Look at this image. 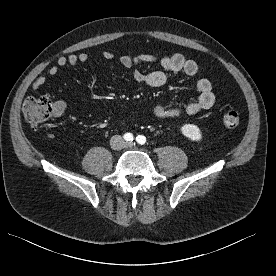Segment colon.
<instances>
[{
    "label": "colon",
    "instance_id": "colon-1",
    "mask_svg": "<svg viewBox=\"0 0 276 276\" xmlns=\"http://www.w3.org/2000/svg\"><path fill=\"white\" fill-rule=\"evenodd\" d=\"M22 112L30 125L39 127L53 116L54 104L47 96L28 97L23 103ZM222 121L227 128H236L240 124V114L234 109H226Z\"/></svg>",
    "mask_w": 276,
    "mask_h": 276
}]
</instances>
